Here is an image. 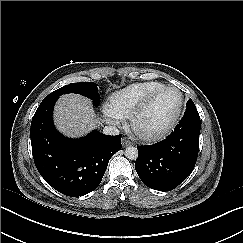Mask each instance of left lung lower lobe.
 Here are the masks:
<instances>
[{
	"mask_svg": "<svg viewBox=\"0 0 243 243\" xmlns=\"http://www.w3.org/2000/svg\"><path fill=\"white\" fill-rule=\"evenodd\" d=\"M200 128L198 111H188L165 140L137 147L135 169L141 181L158 191H170L181 184L196 164Z\"/></svg>",
	"mask_w": 243,
	"mask_h": 243,
	"instance_id": "left-lung-lower-lobe-1",
	"label": "left lung lower lobe"
}]
</instances>
